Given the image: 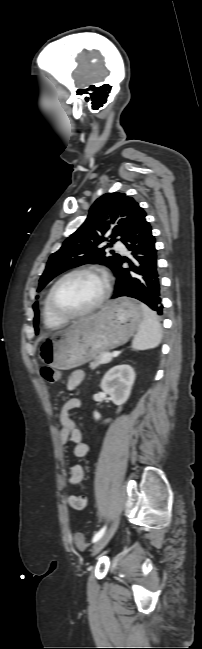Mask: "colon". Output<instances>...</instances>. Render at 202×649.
I'll return each mask as SVG.
<instances>
[{
  "mask_svg": "<svg viewBox=\"0 0 202 649\" xmlns=\"http://www.w3.org/2000/svg\"><path fill=\"white\" fill-rule=\"evenodd\" d=\"M40 372L42 377L49 383H56L60 379L59 371L52 367L42 366ZM74 543L80 551H86L88 548V543L81 533L74 535Z\"/></svg>",
  "mask_w": 202,
  "mask_h": 649,
  "instance_id": "5ec220e1",
  "label": "colon"
}]
</instances>
